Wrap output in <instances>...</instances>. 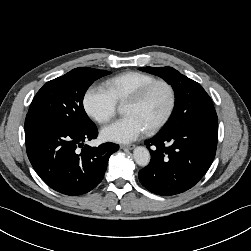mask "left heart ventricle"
Returning <instances> with one entry per match:
<instances>
[{"instance_id": "1", "label": "left heart ventricle", "mask_w": 251, "mask_h": 251, "mask_svg": "<svg viewBox=\"0 0 251 251\" xmlns=\"http://www.w3.org/2000/svg\"><path fill=\"white\" fill-rule=\"evenodd\" d=\"M170 105V94L164 85L154 87L139 104L124 106V114L138 118L146 130L162 120Z\"/></svg>"}]
</instances>
